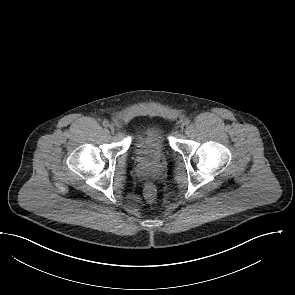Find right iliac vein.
<instances>
[{
    "label": "right iliac vein",
    "instance_id": "obj_1",
    "mask_svg": "<svg viewBox=\"0 0 295 295\" xmlns=\"http://www.w3.org/2000/svg\"><path fill=\"white\" fill-rule=\"evenodd\" d=\"M109 129H110L112 132H114V131H115V127H114V125H110V126H109Z\"/></svg>",
    "mask_w": 295,
    "mask_h": 295
}]
</instances>
